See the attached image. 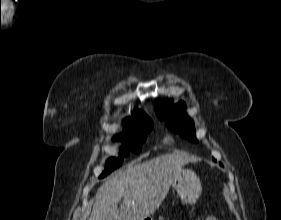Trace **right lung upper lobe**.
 <instances>
[{
    "label": "right lung upper lobe",
    "mask_w": 281,
    "mask_h": 220,
    "mask_svg": "<svg viewBox=\"0 0 281 220\" xmlns=\"http://www.w3.org/2000/svg\"><path fill=\"white\" fill-rule=\"evenodd\" d=\"M147 116L145 114H143L140 110H134L132 112V116L125 119L124 121V124L125 125H128V124H131V123H134L136 121H139L143 118H146Z\"/></svg>",
    "instance_id": "cb5924a9"
}]
</instances>
